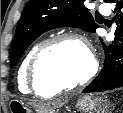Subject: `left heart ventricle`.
Masks as SVG:
<instances>
[{"label":"left heart ventricle","instance_id":"1","mask_svg":"<svg viewBox=\"0 0 123 113\" xmlns=\"http://www.w3.org/2000/svg\"><path fill=\"white\" fill-rule=\"evenodd\" d=\"M90 68L87 51L79 43L63 41L56 44L39 60L37 80L42 90L80 80Z\"/></svg>","mask_w":123,"mask_h":113}]
</instances>
